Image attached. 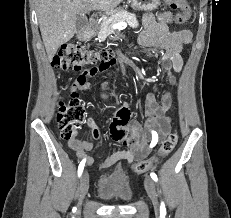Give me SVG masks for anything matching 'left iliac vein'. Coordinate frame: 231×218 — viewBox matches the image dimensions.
I'll list each match as a JSON object with an SVG mask.
<instances>
[{
	"label": "left iliac vein",
	"mask_w": 231,
	"mask_h": 218,
	"mask_svg": "<svg viewBox=\"0 0 231 218\" xmlns=\"http://www.w3.org/2000/svg\"><path fill=\"white\" fill-rule=\"evenodd\" d=\"M144 184H145V189L147 191V194L152 201L155 212H159L160 205H159V200H158L156 184L150 177L145 178Z\"/></svg>",
	"instance_id": "obj_1"
}]
</instances>
